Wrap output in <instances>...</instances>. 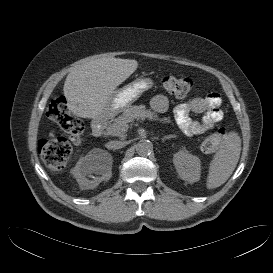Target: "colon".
Segmentation results:
<instances>
[{"label": "colon", "mask_w": 273, "mask_h": 273, "mask_svg": "<svg viewBox=\"0 0 273 273\" xmlns=\"http://www.w3.org/2000/svg\"><path fill=\"white\" fill-rule=\"evenodd\" d=\"M163 89L172 97H183L193 88L192 79L180 76H166L162 81ZM48 117L56 122L69 138L59 137L50 140H41L38 144L39 154L45 165L53 172H59L66 166L73 146L80 142L84 131L82 122L72 116L68 111L65 97L53 100L47 110ZM226 137L224 128L213 131L203 141L201 148L204 152H213L220 148Z\"/></svg>", "instance_id": "1"}]
</instances>
